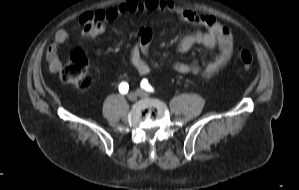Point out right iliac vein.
I'll use <instances>...</instances> for the list:
<instances>
[{
	"mask_svg": "<svg viewBox=\"0 0 299 190\" xmlns=\"http://www.w3.org/2000/svg\"><path fill=\"white\" fill-rule=\"evenodd\" d=\"M128 99H129L130 101H135V100L137 99V93H136V92H130V93L128 94Z\"/></svg>",
	"mask_w": 299,
	"mask_h": 190,
	"instance_id": "right-iliac-vein-1",
	"label": "right iliac vein"
}]
</instances>
